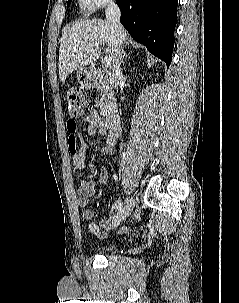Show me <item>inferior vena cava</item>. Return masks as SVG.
<instances>
[{
    "instance_id": "1",
    "label": "inferior vena cava",
    "mask_w": 239,
    "mask_h": 303,
    "mask_svg": "<svg viewBox=\"0 0 239 303\" xmlns=\"http://www.w3.org/2000/svg\"><path fill=\"white\" fill-rule=\"evenodd\" d=\"M106 19L115 29V34L119 40L118 47L115 52V61L113 65V74L117 81L122 78L121 63V47L125 40V30L120 23L121 11L114 1H110L106 9Z\"/></svg>"
}]
</instances>
